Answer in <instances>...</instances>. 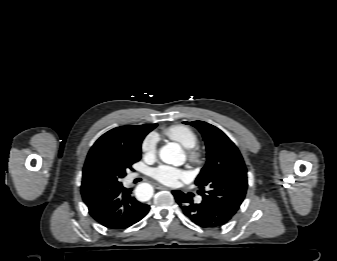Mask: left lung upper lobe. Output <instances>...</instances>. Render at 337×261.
Returning <instances> with one entry per match:
<instances>
[{
	"label": "left lung upper lobe",
	"instance_id": "5c2ea615",
	"mask_svg": "<svg viewBox=\"0 0 337 261\" xmlns=\"http://www.w3.org/2000/svg\"><path fill=\"white\" fill-rule=\"evenodd\" d=\"M184 123L196 127L206 144L207 162L195 180L199 187L198 193L204 200L235 215L248 186L247 170L238 148L220 129L211 124L203 121Z\"/></svg>",
	"mask_w": 337,
	"mask_h": 261
}]
</instances>
